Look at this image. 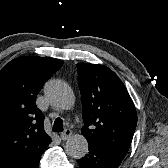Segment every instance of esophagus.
Here are the masks:
<instances>
[{"label":"esophagus","instance_id":"obj_1","mask_svg":"<svg viewBox=\"0 0 168 168\" xmlns=\"http://www.w3.org/2000/svg\"><path fill=\"white\" fill-rule=\"evenodd\" d=\"M71 135L72 131L70 129H66L61 133L60 137L63 141H66L71 137Z\"/></svg>","mask_w":168,"mask_h":168}]
</instances>
